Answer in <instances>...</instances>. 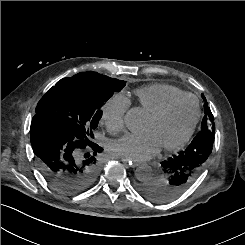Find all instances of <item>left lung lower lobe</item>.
Returning a JSON list of instances; mask_svg holds the SVG:
<instances>
[{"label":"left lung lower lobe","mask_w":245,"mask_h":245,"mask_svg":"<svg viewBox=\"0 0 245 245\" xmlns=\"http://www.w3.org/2000/svg\"><path fill=\"white\" fill-rule=\"evenodd\" d=\"M214 131L199 132L187 148L161 163L160 174L145 181L140 191L157 202L170 201L186 191L205 168L212 152Z\"/></svg>","instance_id":"left-lung-lower-lobe-1"}]
</instances>
